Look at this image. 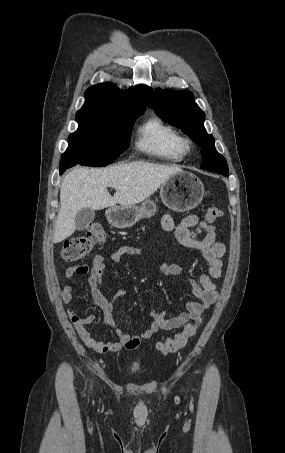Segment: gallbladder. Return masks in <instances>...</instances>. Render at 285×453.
<instances>
[{"label": "gallbladder", "mask_w": 285, "mask_h": 453, "mask_svg": "<svg viewBox=\"0 0 285 453\" xmlns=\"http://www.w3.org/2000/svg\"><path fill=\"white\" fill-rule=\"evenodd\" d=\"M95 211L91 208H82L75 217V225L78 231L85 230L94 220Z\"/></svg>", "instance_id": "gallbladder-1"}]
</instances>
